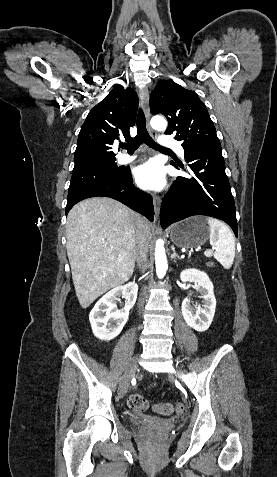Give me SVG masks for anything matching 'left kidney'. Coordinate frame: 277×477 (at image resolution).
Here are the masks:
<instances>
[{
    "label": "left kidney",
    "mask_w": 277,
    "mask_h": 477,
    "mask_svg": "<svg viewBox=\"0 0 277 477\" xmlns=\"http://www.w3.org/2000/svg\"><path fill=\"white\" fill-rule=\"evenodd\" d=\"M180 279L182 282L197 283L196 289L203 298V308L194 309L186 297L182 302L181 311L188 326L198 332H204L211 325L216 309L213 284L205 272L194 268L183 270Z\"/></svg>",
    "instance_id": "5707ae66"
}]
</instances>
